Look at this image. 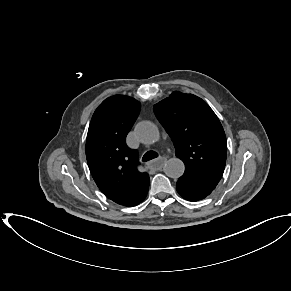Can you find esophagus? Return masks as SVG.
Segmentation results:
<instances>
[{
  "mask_svg": "<svg viewBox=\"0 0 291 291\" xmlns=\"http://www.w3.org/2000/svg\"><path fill=\"white\" fill-rule=\"evenodd\" d=\"M166 162V158L165 157H159L158 159L154 160L150 166L152 168H154L155 170H160L164 164Z\"/></svg>",
  "mask_w": 291,
  "mask_h": 291,
  "instance_id": "1",
  "label": "esophagus"
}]
</instances>
